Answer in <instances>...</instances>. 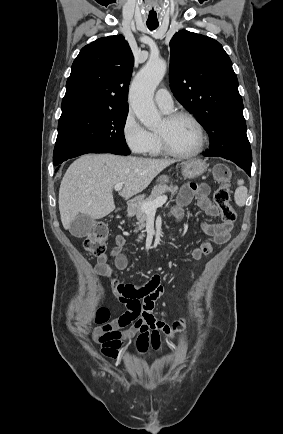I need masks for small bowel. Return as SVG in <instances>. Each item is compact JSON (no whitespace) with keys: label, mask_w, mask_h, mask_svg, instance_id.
<instances>
[{"label":"small bowel","mask_w":283,"mask_h":434,"mask_svg":"<svg viewBox=\"0 0 283 434\" xmlns=\"http://www.w3.org/2000/svg\"><path fill=\"white\" fill-rule=\"evenodd\" d=\"M197 199L201 210L209 217L218 216V209L212 204L209 198V187L206 184L190 183L184 185L177 197L176 203L171 208L170 214L177 221L184 216V208L193 199ZM233 223L221 222L217 224L203 223V232L210 236L214 243L225 244L229 241ZM125 237L117 235L115 245L111 250L114 261L109 264L108 255H101L97 259L95 271L100 276L112 277L115 272L123 271L128 266V259L123 252ZM210 241L203 240L198 246L192 249L191 255L195 260L207 257L212 253ZM112 289L119 301L127 310L113 321L96 327L93 331L94 339L101 344V353L107 357L119 358L128 341L136 339L138 354L143 355L152 348L159 350L161 346V335L171 337L183 327V323L175 322L172 326L166 325L158 320L153 309L155 302L163 294V286L158 275H154L141 288L125 284L118 278L112 279ZM141 300H143L141 302Z\"/></svg>","instance_id":"1"}]
</instances>
